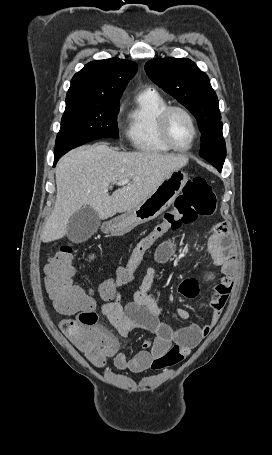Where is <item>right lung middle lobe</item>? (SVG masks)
<instances>
[{
	"mask_svg": "<svg viewBox=\"0 0 272 455\" xmlns=\"http://www.w3.org/2000/svg\"><path fill=\"white\" fill-rule=\"evenodd\" d=\"M119 102L112 104H69L61 120L55 154L100 138H118Z\"/></svg>",
	"mask_w": 272,
	"mask_h": 455,
	"instance_id": "obj_1",
	"label": "right lung middle lobe"
}]
</instances>
